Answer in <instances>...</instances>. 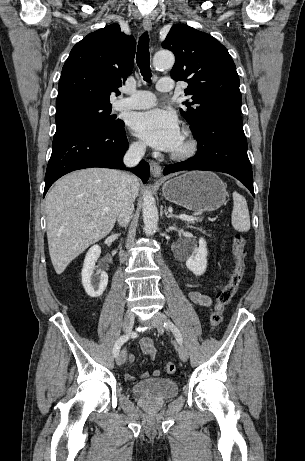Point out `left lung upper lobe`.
I'll list each match as a JSON object with an SVG mask.
<instances>
[{
    "label": "left lung upper lobe",
    "instance_id": "left-lung-upper-lobe-1",
    "mask_svg": "<svg viewBox=\"0 0 305 461\" xmlns=\"http://www.w3.org/2000/svg\"><path fill=\"white\" fill-rule=\"evenodd\" d=\"M176 61L171 77L188 83L185 94L192 102H183V117L196 128L207 116L241 109L239 76L228 50L211 35L187 25H173L162 43Z\"/></svg>",
    "mask_w": 305,
    "mask_h": 461
}]
</instances>
